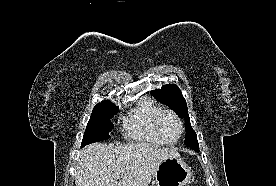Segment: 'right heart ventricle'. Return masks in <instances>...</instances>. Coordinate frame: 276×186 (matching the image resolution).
Listing matches in <instances>:
<instances>
[{
  "label": "right heart ventricle",
  "instance_id": "right-heart-ventricle-1",
  "mask_svg": "<svg viewBox=\"0 0 276 186\" xmlns=\"http://www.w3.org/2000/svg\"><path fill=\"white\" fill-rule=\"evenodd\" d=\"M163 109L155 102L148 100L136 108L124 121L125 135L138 142L152 146H163L155 131V120Z\"/></svg>",
  "mask_w": 276,
  "mask_h": 186
}]
</instances>
